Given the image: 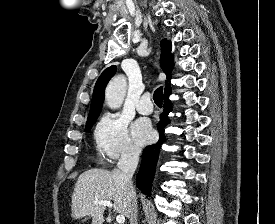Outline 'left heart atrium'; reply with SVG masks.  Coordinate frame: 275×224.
I'll return each instance as SVG.
<instances>
[{"label":"left heart atrium","instance_id":"left-heart-atrium-1","mask_svg":"<svg viewBox=\"0 0 275 224\" xmlns=\"http://www.w3.org/2000/svg\"><path fill=\"white\" fill-rule=\"evenodd\" d=\"M132 133L135 141L139 145L149 143L153 138V131L151 126L145 120H137L132 127Z\"/></svg>","mask_w":275,"mask_h":224}]
</instances>
